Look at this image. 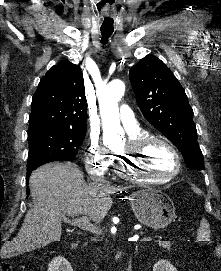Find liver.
I'll return each instance as SVG.
<instances>
[{"instance_id":"1","label":"liver","mask_w":221,"mask_h":271,"mask_svg":"<svg viewBox=\"0 0 221 271\" xmlns=\"http://www.w3.org/2000/svg\"><path fill=\"white\" fill-rule=\"evenodd\" d=\"M29 185L33 205L17 235L2 245V257L60 241L64 215H90L94 223H100L113 203L106 195L118 189L110 183H85L83 171L73 163H45L32 171Z\"/></svg>"}]
</instances>
